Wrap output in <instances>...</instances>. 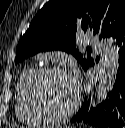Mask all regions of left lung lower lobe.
Listing matches in <instances>:
<instances>
[{"instance_id":"left-lung-lower-lobe-1","label":"left lung lower lobe","mask_w":125,"mask_h":128,"mask_svg":"<svg viewBox=\"0 0 125 128\" xmlns=\"http://www.w3.org/2000/svg\"><path fill=\"white\" fill-rule=\"evenodd\" d=\"M113 38L118 45V70L112 91L96 108L90 107V98L85 100L72 122H84L98 128H124L125 126V24Z\"/></svg>"}]
</instances>
